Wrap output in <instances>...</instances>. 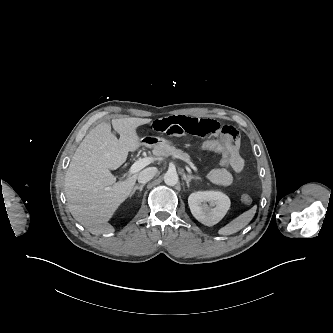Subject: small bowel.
<instances>
[{"mask_svg": "<svg viewBox=\"0 0 333 333\" xmlns=\"http://www.w3.org/2000/svg\"><path fill=\"white\" fill-rule=\"evenodd\" d=\"M150 128L154 132L172 137L185 135L210 137L226 147L232 159V168H214L208 173L209 180L217 185H231L235 174L240 173L244 168V160L239 153V135L230 125H221L213 119L173 115L154 120Z\"/></svg>", "mask_w": 333, "mask_h": 333, "instance_id": "c3829d8e", "label": "small bowel"}]
</instances>
